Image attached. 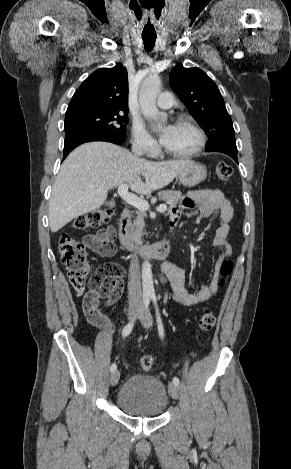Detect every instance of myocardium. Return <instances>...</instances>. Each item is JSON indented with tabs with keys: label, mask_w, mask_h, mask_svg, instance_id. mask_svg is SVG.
<instances>
[{
	"label": "myocardium",
	"mask_w": 291,
	"mask_h": 469,
	"mask_svg": "<svg viewBox=\"0 0 291 469\" xmlns=\"http://www.w3.org/2000/svg\"><path fill=\"white\" fill-rule=\"evenodd\" d=\"M177 125H188L190 126L196 133L197 136V141L196 144L192 149L186 152H175L167 149L166 147L163 148V151L165 154L174 157V158H180V159H186L195 156L198 154L202 148L205 145L206 142V136L203 131V129L200 127V125L190 116H181L177 119L176 121Z\"/></svg>",
	"instance_id": "obj_1"
}]
</instances>
